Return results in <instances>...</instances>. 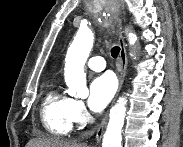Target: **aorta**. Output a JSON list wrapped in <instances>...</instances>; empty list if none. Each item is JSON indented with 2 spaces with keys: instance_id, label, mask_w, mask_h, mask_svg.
<instances>
[{
  "instance_id": "762f6f07",
  "label": "aorta",
  "mask_w": 183,
  "mask_h": 147,
  "mask_svg": "<svg viewBox=\"0 0 183 147\" xmlns=\"http://www.w3.org/2000/svg\"><path fill=\"white\" fill-rule=\"evenodd\" d=\"M128 39L131 45L135 44L136 36L133 33L128 34ZM93 42L94 34L92 30L81 28L68 48L65 58L64 79L70 96L87 98L89 95L84 66ZM126 103L127 99L121 97L111 108L102 147H121V132L126 116Z\"/></svg>"
}]
</instances>
